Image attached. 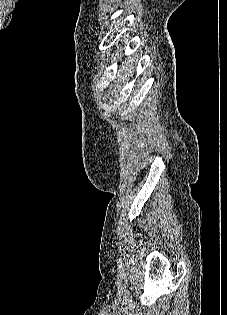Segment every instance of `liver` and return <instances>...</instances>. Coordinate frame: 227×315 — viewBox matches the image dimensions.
<instances>
[{"label":"liver","mask_w":227,"mask_h":315,"mask_svg":"<svg viewBox=\"0 0 227 315\" xmlns=\"http://www.w3.org/2000/svg\"><path fill=\"white\" fill-rule=\"evenodd\" d=\"M132 68L128 64V61H125L121 66V72H124V75H121L120 78L123 80V82L131 76Z\"/></svg>","instance_id":"liver-1"}]
</instances>
